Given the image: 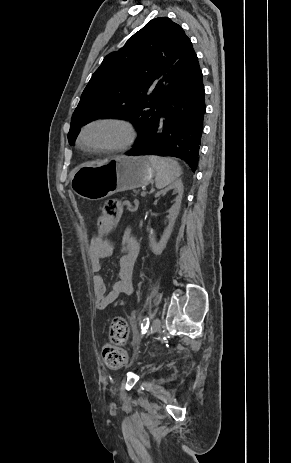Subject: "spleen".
<instances>
[{
  "instance_id": "3e777b00",
  "label": "spleen",
  "mask_w": 291,
  "mask_h": 463,
  "mask_svg": "<svg viewBox=\"0 0 291 463\" xmlns=\"http://www.w3.org/2000/svg\"><path fill=\"white\" fill-rule=\"evenodd\" d=\"M148 159L157 171L155 184L158 189L166 187L180 177L181 168L177 161L158 156H150Z\"/></svg>"
}]
</instances>
